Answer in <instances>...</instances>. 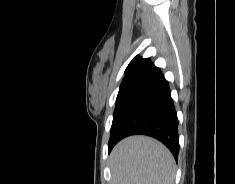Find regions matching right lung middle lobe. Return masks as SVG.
Segmentation results:
<instances>
[{"label":"right lung middle lobe","mask_w":235,"mask_h":184,"mask_svg":"<svg viewBox=\"0 0 235 184\" xmlns=\"http://www.w3.org/2000/svg\"><path fill=\"white\" fill-rule=\"evenodd\" d=\"M123 93H124L123 91H119V93H118V96H117V99H116V107H115V110H116L118 104H119L120 101H121V98H122Z\"/></svg>","instance_id":"dd1d6c3e"}]
</instances>
